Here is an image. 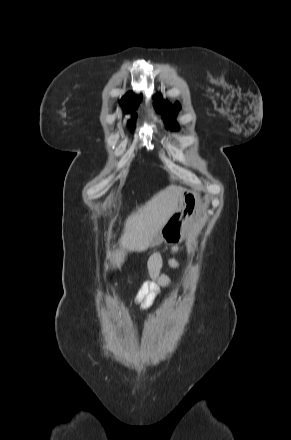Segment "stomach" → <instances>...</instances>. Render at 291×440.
<instances>
[{
    "instance_id": "0dacf381",
    "label": "stomach",
    "mask_w": 291,
    "mask_h": 440,
    "mask_svg": "<svg viewBox=\"0 0 291 440\" xmlns=\"http://www.w3.org/2000/svg\"><path fill=\"white\" fill-rule=\"evenodd\" d=\"M178 202L179 208L169 216L164 226L152 239L151 245H157L163 241L177 242L184 238L206 207L200 192L196 190H183Z\"/></svg>"
}]
</instances>
